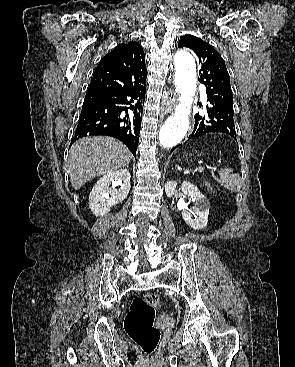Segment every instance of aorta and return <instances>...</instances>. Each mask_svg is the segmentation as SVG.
Listing matches in <instances>:
<instances>
[{
  "label": "aorta",
  "mask_w": 295,
  "mask_h": 367,
  "mask_svg": "<svg viewBox=\"0 0 295 367\" xmlns=\"http://www.w3.org/2000/svg\"><path fill=\"white\" fill-rule=\"evenodd\" d=\"M175 69L174 85L180 94V103L160 128L159 141L166 148L176 146L186 136L196 91V64L193 56L186 51H178L175 54Z\"/></svg>",
  "instance_id": "762f6f07"
}]
</instances>
